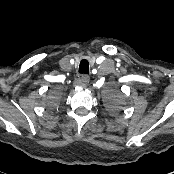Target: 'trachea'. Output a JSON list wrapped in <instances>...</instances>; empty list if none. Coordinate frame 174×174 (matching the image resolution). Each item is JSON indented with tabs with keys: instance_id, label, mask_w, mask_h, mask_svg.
I'll return each instance as SVG.
<instances>
[{
	"instance_id": "1",
	"label": "trachea",
	"mask_w": 174,
	"mask_h": 174,
	"mask_svg": "<svg viewBox=\"0 0 174 174\" xmlns=\"http://www.w3.org/2000/svg\"><path fill=\"white\" fill-rule=\"evenodd\" d=\"M79 73L89 74V63L87 60H82L79 65Z\"/></svg>"
}]
</instances>
